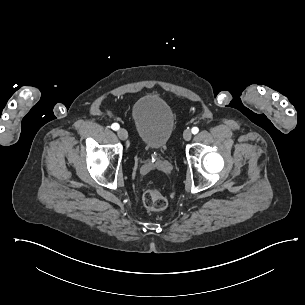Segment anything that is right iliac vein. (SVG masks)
<instances>
[{"mask_svg":"<svg viewBox=\"0 0 305 305\" xmlns=\"http://www.w3.org/2000/svg\"><path fill=\"white\" fill-rule=\"evenodd\" d=\"M117 134H118V137L122 140H125L127 139L128 137V133L125 129L121 128L117 131Z\"/></svg>","mask_w":305,"mask_h":305,"instance_id":"obj_1","label":"right iliac vein"}]
</instances>
